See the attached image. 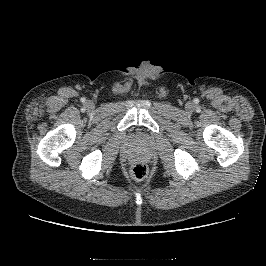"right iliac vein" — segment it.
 <instances>
[{"label":"right iliac vein","instance_id":"right-iliac-vein-1","mask_svg":"<svg viewBox=\"0 0 266 266\" xmlns=\"http://www.w3.org/2000/svg\"><path fill=\"white\" fill-rule=\"evenodd\" d=\"M89 106H90V107H92V106H93V104H91V103H90V104H89Z\"/></svg>","mask_w":266,"mask_h":266}]
</instances>
